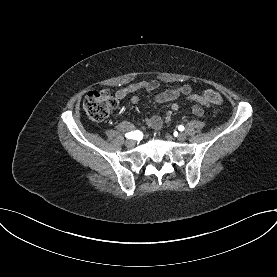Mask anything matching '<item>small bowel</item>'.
I'll list each match as a JSON object with an SVG mask.
<instances>
[{
  "instance_id": "small-bowel-1",
  "label": "small bowel",
  "mask_w": 277,
  "mask_h": 277,
  "mask_svg": "<svg viewBox=\"0 0 277 277\" xmlns=\"http://www.w3.org/2000/svg\"><path fill=\"white\" fill-rule=\"evenodd\" d=\"M158 87L159 82L156 80H145L137 83H130L119 88L114 94V99L118 104L129 95L140 89H144L156 102L164 103L172 101L173 103L171 105V109L165 113L163 118L158 115H153L145 120L146 125L154 130H160L164 122L169 123L171 121L173 113L179 109V104L175 102V100H177L180 96H184L187 101L194 103L191 107V111L196 117L203 116V106H210L211 102L208 101L204 95L193 92L191 86L187 84L175 86L160 93L156 92ZM131 101L133 104H137L140 101V98L138 96H133ZM132 127L133 125L129 122H124L122 124V128L124 129H131Z\"/></svg>"
}]
</instances>
